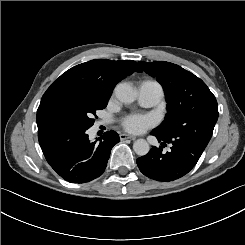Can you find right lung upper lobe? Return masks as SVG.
I'll use <instances>...</instances> for the list:
<instances>
[{"mask_svg":"<svg viewBox=\"0 0 245 245\" xmlns=\"http://www.w3.org/2000/svg\"><path fill=\"white\" fill-rule=\"evenodd\" d=\"M134 72H142L135 61L104 59L91 60L67 70L51 84L41 99L37 110L38 131L44 130L41 120L45 105L61 90L87 91L109 99L116 84Z\"/></svg>","mask_w":245,"mask_h":245,"instance_id":"obj_1","label":"right lung upper lobe"}]
</instances>
